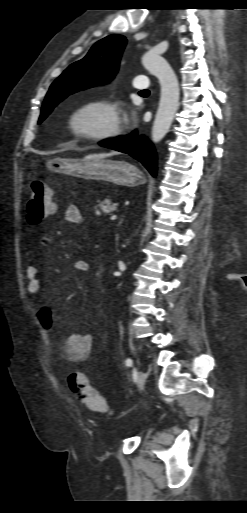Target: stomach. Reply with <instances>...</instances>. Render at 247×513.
I'll return each instance as SVG.
<instances>
[{
  "label": "stomach",
  "instance_id": "stomach-1",
  "mask_svg": "<svg viewBox=\"0 0 247 513\" xmlns=\"http://www.w3.org/2000/svg\"><path fill=\"white\" fill-rule=\"evenodd\" d=\"M46 167L53 172L129 187L137 186L144 182L143 174L136 166L126 161H114L107 158H54L46 163Z\"/></svg>",
  "mask_w": 247,
  "mask_h": 513
}]
</instances>
